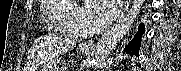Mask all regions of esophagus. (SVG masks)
Instances as JSON below:
<instances>
[{"label":"esophagus","instance_id":"1","mask_svg":"<svg viewBox=\"0 0 181 71\" xmlns=\"http://www.w3.org/2000/svg\"><path fill=\"white\" fill-rule=\"evenodd\" d=\"M130 2H131V0H125L124 1L122 12H121L119 18H122L124 16L125 12L128 9V6H129ZM82 45L85 46V47H89V48H94L95 47V43H94L93 40L86 41V42L82 43Z\"/></svg>","mask_w":181,"mask_h":71}]
</instances>
